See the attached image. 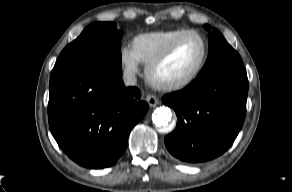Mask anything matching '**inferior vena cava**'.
I'll return each mask as SVG.
<instances>
[{
  "instance_id": "1",
  "label": "inferior vena cava",
  "mask_w": 292,
  "mask_h": 192,
  "mask_svg": "<svg viewBox=\"0 0 292 192\" xmlns=\"http://www.w3.org/2000/svg\"><path fill=\"white\" fill-rule=\"evenodd\" d=\"M123 81L126 86H134L136 85L137 79H136L135 74L131 72H124Z\"/></svg>"
}]
</instances>
